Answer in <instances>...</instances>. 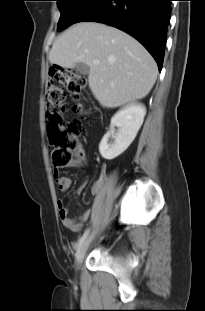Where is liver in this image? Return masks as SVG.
I'll return each mask as SVG.
<instances>
[{
	"label": "liver",
	"instance_id": "6515ba94",
	"mask_svg": "<svg viewBox=\"0 0 205 311\" xmlns=\"http://www.w3.org/2000/svg\"><path fill=\"white\" fill-rule=\"evenodd\" d=\"M49 61L65 68L88 65L89 87L107 108L144 98L158 73L155 60L136 39L97 22L77 23L66 30L54 42Z\"/></svg>",
	"mask_w": 205,
	"mask_h": 311
}]
</instances>
